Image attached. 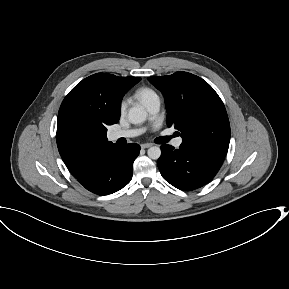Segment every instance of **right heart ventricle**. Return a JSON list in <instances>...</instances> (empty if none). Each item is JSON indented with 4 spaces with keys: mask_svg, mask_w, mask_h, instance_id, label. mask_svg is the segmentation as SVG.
Listing matches in <instances>:
<instances>
[{
    "mask_svg": "<svg viewBox=\"0 0 289 289\" xmlns=\"http://www.w3.org/2000/svg\"><path fill=\"white\" fill-rule=\"evenodd\" d=\"M135 97L145 106L153 99L158 98L157 94L150 88L143 87L136 91Z\"/></svg>",
    "mask_w": 289,
    "mask_h": 289,
    "instance_id": "obj_1",
    "label": "right heart ventricle"
}]
</instances>
